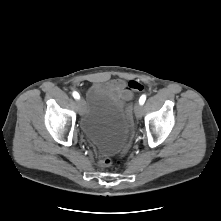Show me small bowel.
<instances>
[{"mask_svg": "<svg viewBox=\"0 0 221 221\" xmlns=\"http://www.w3.org/2000/svg\"><path fill=\"white\" fill-rule=\"evenodd\" d=\"M107 85L120 100L128 101L131 98L130 93L125 90V82L123 80L113 79L110 80Z\"/></svg>", "mask_w": 221, "mask_h": 221, "instance_id": "c3829d8e", "label": "small bowel"}]
</instances>
